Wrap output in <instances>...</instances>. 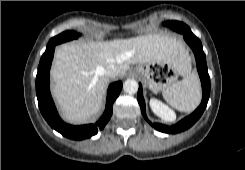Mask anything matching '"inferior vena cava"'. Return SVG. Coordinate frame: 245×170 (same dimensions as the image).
<instances>
[{
  "instance_id": "1",
  "label": "inferior vena cava",
  "mask_w": 245,
  "mask_h": 170,
  "mask_svg": "<svg viewBox=\"0 0 245 170\" xmlns=\"http://www.w3.org/2000/svg\"><path fill=\"white\" fill-rule=\"evenodd\" d=\"M104 73L106 76L110 78H115L119 75V69L115 65H109L105 70Z\"/></svg>"
}]
</instances>
